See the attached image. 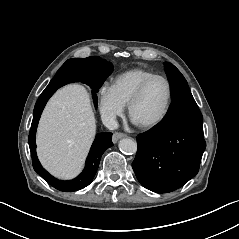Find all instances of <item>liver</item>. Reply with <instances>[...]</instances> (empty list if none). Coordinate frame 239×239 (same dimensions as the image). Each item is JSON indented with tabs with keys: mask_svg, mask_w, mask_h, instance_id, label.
Instances as JSON below:
<instances>
[{
	"mask_svg": "<svg viewBox=\"0 0 239 239\" xmlns=\"http://www.w3.org/2000/svg\"><path fill=\"white\" fill-rule=\"evenodd\" d=\"M95 119L84 88L69 85L48 102L41 117L37 145L43 165L61 178L74 176L93 141Z\"/></svg>",
	"mask_w": 239,
	"mask_h": 239,
	"instance_id": "1",
	"label": "liver"
}]
</instances>
